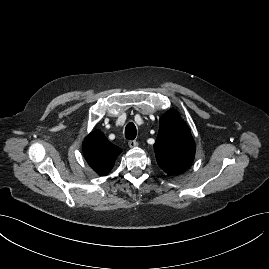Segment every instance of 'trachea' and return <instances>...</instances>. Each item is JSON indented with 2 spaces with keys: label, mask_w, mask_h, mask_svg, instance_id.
<instances>
[{
  "label": "trachea",
  "mask_w": 269,
  "mask_h": 269,
  "mask_svg": "<svg viewBox=\"0 0 269 269\" xmlns=\"http://www.w3.org/2000/svg\"><path fill=\"white\" fill-rule=\"evenodd\" d=\"M136 126L134 125V123L130 122L127 124L126 128H125V137L129 140H134L136 138Z\"/></svg>",
  "instance_id": "3493384b"
}]
</instances>
